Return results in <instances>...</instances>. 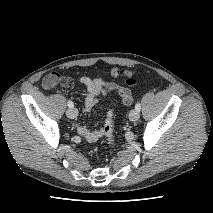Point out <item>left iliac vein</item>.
Listing matches in <instances>:
<instances>
[{
    "instance_id": "4c4485c4",
    "label": "left iliac vein",
    "mask_w": 213,
    "mask_h": 213,
    "mask_svg": "<svg viewBox=\"0 0 213 213\" xmlns=\"http://www.w3.org/2000/svg\"><path fill=\"white\" fill-rule=\"evenodd\" d=\"M139 116V111H137L136 109L131 110L129 113V119L133 122L137 121L139 119Z\"/></svg>"
}]
</instances>
